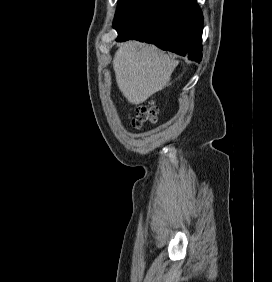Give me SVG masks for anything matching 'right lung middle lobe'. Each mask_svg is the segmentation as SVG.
<instances>
[{"mask_svg": "<svg viewBox=\"0 0 272 282\" xmlns=\"http://www.w3.org/2000/svg\"><path fill=\"white\" fill-rule=\"evenodd\" d=\"M139 0H119L118 7L115 13L114 24L126 15Z\"/></svg>", "mask_w": 272, "mask_h": 282, "instance_id": "right-lung-middle-lobe-1", "label": "right lung middle lobe"}]
</instances>
